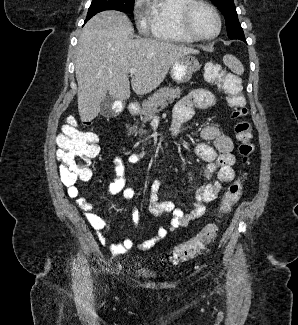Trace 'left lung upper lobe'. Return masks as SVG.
I'll list each match as a JSON object with an SVG mask.
<instances>
[{
    "label": "left lung upper lobe",
    "instance_id": "5c2ea615",
    "mask_svg": "<svg viewBox=\"0 0 298 325\" xmlns=\"http://www.w3.org/2000/svg\"><path fill=\"white\" fill-rule=\"evenodd\" d=\"M222 12L226 21L228 37L231 39H243V29L238 21L233 0H211Z\"/></svg>",
    "mask_w": 298,
    "mask_h": 325
}]
</instances>
